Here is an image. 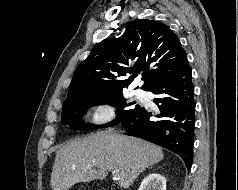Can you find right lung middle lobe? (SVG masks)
<instances>
[{
    "instance_id": "right-lung-middle-lobe-1",
    "label": "right lung middle lobe",
    "mask_w": 238,
    "mask_h": 190,
    "mask_svg": "<svg viewBox=\"0 0 238 190\" xmlns=\"http://www.w3.org/2000/svg\"><path fill=\"white\" fill-rule=\"evenodd\" d=\"M102 104H109L117 107V118L106 126L83 125L80 120L87 108L93 105ZM131 105H133V103H127L122 93L113 95L81 94L66 101V105L62 110L61 121L63 124L69 125L71 128L83 131H91L102 127L114 126L140 108L138 105L133 109L129 108Z\"/></svg>"
}]
</instances>
